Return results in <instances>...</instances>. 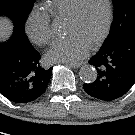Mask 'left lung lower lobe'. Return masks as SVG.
<instances>
[{
	"mask_svg": "<svg viewBox=\"0 0 135 135\" xmlns=\"http://www.w3.org/2000/svg\"><path fill=\"white\" fill-rule=\"evenodd\" d=\"M89 63L97 69V79L83 88L90 96L111 101L122 97L135 83V32L105 44Z\"/></svg>",
	"mask_w": 135,
	"mask_h": 135,
	"instance_id": "left-lung-lower-lobe-1",
	"label": "left lung lower lobe"
}]
</instances>
